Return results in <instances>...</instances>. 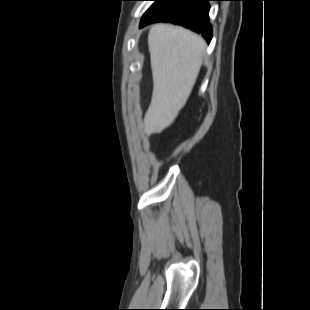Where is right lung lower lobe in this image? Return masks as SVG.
<instances>
[{
	"label": "right lung lower lobe",
	"mask_w": 310,
	"mask_h": 310,
	"mask_svg": "<svg viewBox=\"0 0 310 310\" xmlns=\"http://www.w3.org/2000/svg\"><path fill=\"white\" fill-rule=\"evenodd\" d=\"M212 0H161L154 3L141 19L140 27L153 22H172L202 33L209 43L212 27L208 12Z\"/></svg>",
	"instance_id": "98d812e1"
}]
</instances>
